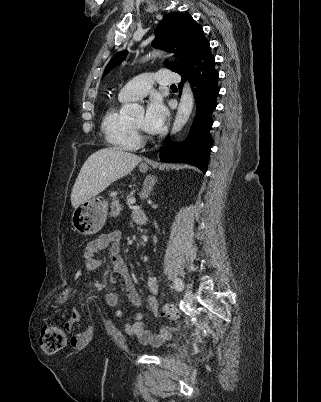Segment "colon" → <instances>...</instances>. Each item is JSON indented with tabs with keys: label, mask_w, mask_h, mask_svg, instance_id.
<instances>
[{
	"label": "colon",
	"mask_w": 321,
	"mask_h": 402,
	"mask_svg": "<svg viewBox=\"0 0 321 402\" xmlns=\"http://www.w3.org/2000/svg\"><path fill=\"white\" fill-rule=\"evenodd\" d=\"M66 299L67 293H63L58 297L57 302L62 304ZM160 315L176 319L180 316V311L173 304L166 303L163 305ZM67 340L66 333L59 326L52 323L43 326L40 345L45 353L54 354L63 350L67 345Z\"/></svg>",
	"instance_id": "5ec220e1"
}]
</instances>
